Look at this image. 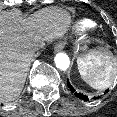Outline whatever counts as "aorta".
<instances>
[{"label": "aorta", "instance_id": "1", "mask_svg": "<svg viewBox=\"0 0 117 117\" xmlns=\"http://www.w3.org/2000/svg\"><path fill=\"white\" fill-rule=\"evenodd\" d=\"M54 62L57 68L61 70H66L70 65V60L67 54L58 53L54 58Z\"/></svg>", "mask_w": 117, "mask_h": 117}]
</instances>
